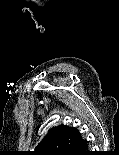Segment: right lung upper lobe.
<instances>
[{
    "instance_id": "obj_1",
    "label": "right lung upper lobe",
    "mask_w": 119,
    "mask_h": 155,
    "mask_svg": "<svg viewBox=\"0 0 119 155\" xmlns=\"http://www.w3.org/2000/svg\"><path fill=\"white\" fill-rule=\"evenodd\" d=\"M82 139L74 127H53L38 144L32 155H63L73 144Z\"/></svg>"
}]
</instances>
